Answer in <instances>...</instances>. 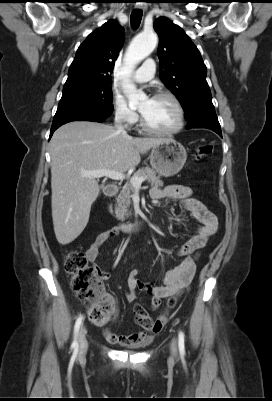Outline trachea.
<instances>
[{
  "label": "trachea",
  "mask_w": 272,
  "mask_h": 401,
  "mask_svg": "<svg viewBox=\"0 0 272 401\" xmlns=\"http://www.w3.org/2000/svg\"><path fill=\"white\" fill-rule=\"evenodd\" d=\"M142 10L134 9L130 16V22L133 29H137L141 23Z\"/></svg>",
  "instance_id": "3493384b"
}]
</instances>
